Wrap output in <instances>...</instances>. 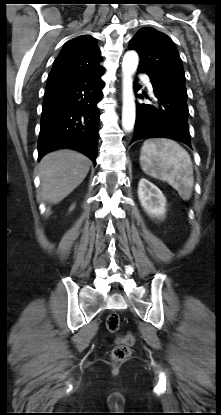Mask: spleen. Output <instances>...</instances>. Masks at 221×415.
<instances>
[{"instance_id": "obj_1", "label": "spleen", "mask_w": 221, "mask_h": 415, "mask_svg": "<svg viewBox=\"0 0 221 415\" xmlns=\"http://www.w3.org/2000/svg\"><path fill=\"white\" fill-rule=\"evenodd\" d=\"M142 170L149 176L166 181L183 200H189L194 184L190 155L177 142L153 139L143 143L140 154Z\"/></svg>"}]
</instances>
